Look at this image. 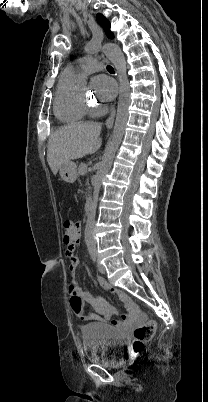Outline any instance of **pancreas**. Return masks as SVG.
Masks as SVG:
<instances>
[{
	"label": "pancreas",
	"instance_id": "1",
	"mask_svg": "<svg viewBox=\"0 0 208 402\" xmlns=\"http://www.w3.org/2000/svg\"><path fill=\"white\" fill-rule=\"evenodd\" d=\"M86 166L87 164H80L79 168H78V174H83V170H86ZM86 186H88L87 188V194L89 196L90 192H91V188L89 186V182H86Z\"/></svg>",
	"mask_w": 208,
	"mask_h": 402
}]
</instances>
